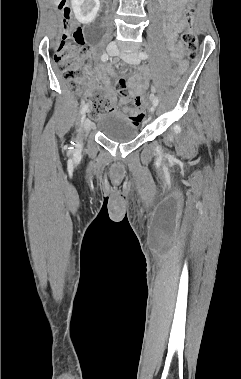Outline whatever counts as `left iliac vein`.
Segmentation results:
<instances>
[{
  "instance_id": "left-iliac-vein-1",
  "label": "left iliac vein",
  "mask_w": 241,
  "mask_h": 379,
  "mask_svg": "<svg viewBox=\"0 0 241 379\" xmlns=\"http://www.w3.org/2000/svg\"><path fill=\"white\" fill-rule=\"evenodd\" d=\"M117 55H119L124 61L130 64H138L140 63V56L137 52H117ZM151 114L155 112V105L151 106L150 108Z\"/></svg>"
}]
</instances>
